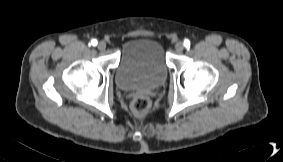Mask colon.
I'll list each match as a JSON object with an SVG mask.
<instances>
[{"label":"colon","mask_w":283,"mask_h":162,"mask_svg":"<svg viewBox=\"0 0 283 162\" xmlns=\"http://www.w3.org/2000/svg\"><path fill=\"white\" fill-rule=\"evenodd\" d=\"M150 108V100L143 95L136 96L131 103V109L134 113L140 115L148 111Z\"/></svg>","instance_id":"1"}]
</instances>
